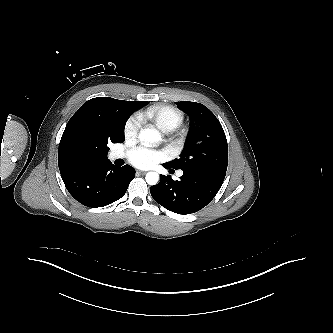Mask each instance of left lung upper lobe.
Returning a JSON list of instances; mask_svg holds the SVG:
<instances>
[{
    "label": "left lung upper lobe",
    "instance_id": "obj_1",
    "mask_svg": "<svg viewBox=\"0 0 333 333\" xmlns=\"http://www.w3.org/2000/svg\"><path fill=\"white\" fill-rule=\"evenodd\" d=\"M176 104L190 117L191 136L180 158L164 164L183 171L211 169L226 172L228 146L219 120L200 103L182 101Z\"/></svg>",
    "mask_w": 333,
    "mask_h": 333
}]
</instances>
